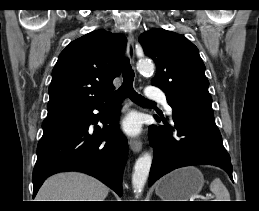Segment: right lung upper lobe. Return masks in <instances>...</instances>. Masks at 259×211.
<instances>
[{"label":"right lung upper lobe","instance_id":"obj_1","mask_svg":"<svg viewBox=\"0 0 259 211\" xmlns=\"http://www.w3.org/2000/svg\"><path fill=\"white\" fill-rule=\"evenodd\" d=\"M127 39L103 29L71 42L52 71L46 118L82 112L109 102L120 75V58Z\"/></svg>","mask_w":259,"mask_h":211}]
</instances>
